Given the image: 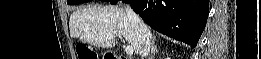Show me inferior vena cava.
<instances>
[{
	"mask_svg": "<svg viewBox=\"0 0 261 59\" xmlns=\"http://www.w3.org/2000/svg\"><path fill=\"white\" fill-rule=\"evenodd\" d=\"M125 11L131 27L135 30L139 44L141 45L142 59H146L150 52L152 34L146 24L129 5L126 6Z\"/></svg>",
	"mask_w": 261,
	"mask_h": 59,
	"instance_id": "obj_1",
	"label": "inferior vena cava"
}]
</instances>
